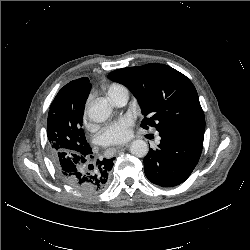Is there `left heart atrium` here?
I'll list each match as a JSON object with an SVG mask.
<instances>
[{"label":"left heart atrium","instance_id":"39dd6f15","mask_svg":"<svg viewBox=\"0 0 250 250\" xmlns=\"http://www.w3.org/2000/svg\"><path fill=\"white\" fill-rule=\"evenodd\" d=\"M134 119L125 116L117 121L108 124L99 134V140L104 146L122 144L132 136Z\"/></svg>","mask_w":250,"mask_h":250}]
</instances>
